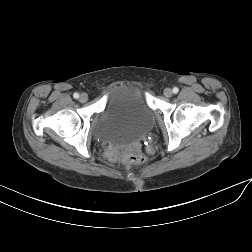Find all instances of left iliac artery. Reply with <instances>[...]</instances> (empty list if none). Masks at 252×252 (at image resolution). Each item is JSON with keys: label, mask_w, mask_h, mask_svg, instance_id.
<instances>
[{"label": "left iliac artery", "mask_w": 252, "mask_h": 252, "mask_svg": "<svg viewBox=\"0 0 252 252\" xmlns=\"http://www.w3.org/2000/svg\"><path fill=\"white\" fill-rule=\"evenodd\" d=\"M172 91H173V93L177 94L179 89L177 87H174Z\"/></svg>", "instance_id": "obj_1"}]
</instances>
